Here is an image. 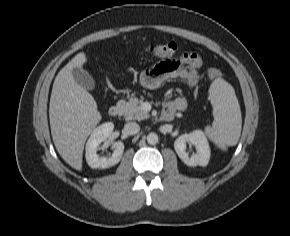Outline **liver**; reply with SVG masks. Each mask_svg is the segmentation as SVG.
Here are the masks:
<instances>
[{"label": "liver", "instance_id": "liver-1", "mask_svg": "<svg viewBox=\"0 0 290 236\" xmlns=\"http://www.w3.org/2000/svg\"><path fill=\"white\" fill-rule=\"evenodd\" d=\"M87 62L78 53L57 74L52 88L49 119L56 150L72 168L81 171L84 144L101 120L93 96L74 79L72 70Z\"/></svg>", "mask_w": 290, "mask_h": 236}]
</instances>
